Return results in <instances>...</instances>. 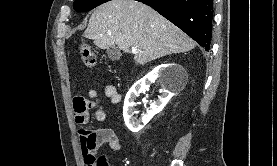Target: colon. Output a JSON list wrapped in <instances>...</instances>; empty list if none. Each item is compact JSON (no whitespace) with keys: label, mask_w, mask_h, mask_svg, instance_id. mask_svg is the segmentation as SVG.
<instances>
[{"label":"colon","mask_w":277,"mask_h":166,"mask_svg":"<svg viewBox=\"0 0 277 166\" xmlns=\"http://www.w3.org/2000/svg\"><path fill=\"white\" fill-rule=\"evenodd\" d=\"M81 58L84 65L87 68H93L96 65V55L86 44H82L80 47ZM96 166H102V162L98 159L93 160Z\"/></svg>","instance_id":"obj_1"}]
</instances>
